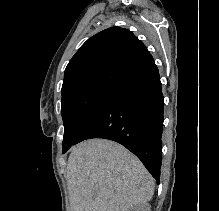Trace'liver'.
<instances>
[{"instance_id":"1","label":"liver","mask_w":219,"mask_h":211,"mask_svg":"<svg viewBox=\"0 0 219 211\" xmlns=\"http://www.w3.org/2000/svg\"><path fill=\"white\" fill-rule=\"evenodd\" d=\"M66 179L71 211H129L150 201L155 187L134 153L99 137L72 147Z\"/></svg>"}]
</instances>
